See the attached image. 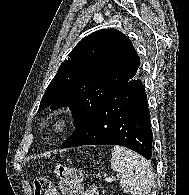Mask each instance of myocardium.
<instances>
[{"mask_svg":"<svg viewBox=\"0 0 189 195\" xmlns=\"http://www.w3.org/2000/svg\"><path fill=\"white\" fill-rule=\"evenodd\" d=\"M72 123V117L65 112L57 113L50 121V130L55 135L65 133Z\"/></svg>","mask_w":189,"mask_h":195,"instance_id":"1","label":"myocardium"}]
</instances>
